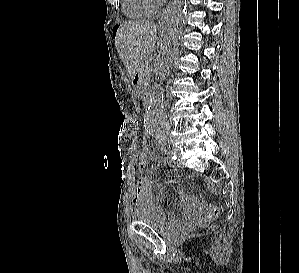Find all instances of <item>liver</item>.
Returning <instances> with one entry per match:
<instances>
[{
	"mask_svg": "<svg viewBox=\"0 0 299 273\" xmlns=\"http://www.w3.org/2000/svg\"><path fill=\"white\" fill-rule=\"evenodd\" d=\"M157 25L153 21H128L118 28L115 46L128 74L134 78L140 63L155 49Z\"/></svg>",
	"mask_w": 299,
	"mask_h": 273,
	"instance_id": "1",
	"label": "liver"
}]
</instances>
